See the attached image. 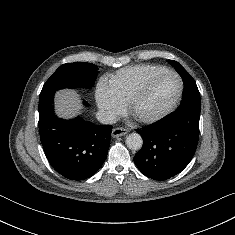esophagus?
<instances>
[{
  "label": "esophagus",
  "instance_id": "34e87169",
  "mask_svg": "<svg viewBox=\"0 0 235 235\" xmlns=\"http://www.w3.org/2000/svg\"><path fill=\"white\" fill-rule=\"evenodd\" d=\"M128 133L126 129L123 128H114L112 130V136L113 137H119V136H124Z\"/></svg>",
  "mask_w": 235,
  "mask_h": 235
}]
</instances>
